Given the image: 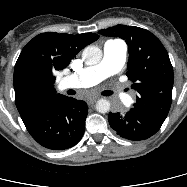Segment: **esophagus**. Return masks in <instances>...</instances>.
<instances>
[{
	"label": "esophagus",
	"mask_w": 187,
	"mask_h": 187,
	"mask_svg": "<svg viewBox=\"0 0 187 187\" xmlns=\"http://www.w3.org/2000/svg\"><path fill=\"white\" fill-rule=\"evenodd\" d=\"M99 97H93V98H88L86 100L87 104L90 106V105H93L97 100H98Z\"/></svg>",
	"instance_id": "obj_1"
}]
</instances>
